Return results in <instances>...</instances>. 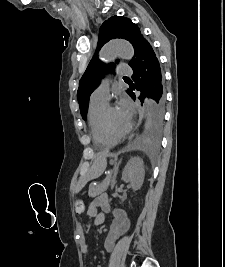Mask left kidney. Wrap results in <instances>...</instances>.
Here are the masks:
<instances>
[{
    "instance_id": "obj_1",
    "label": "left kidney",
    "mask_w": 225,
    "mask_h": 267,
    "mask_svg": "<svg viewBox=\"0 0 225 267\" xmlns=\"http://www.w3.org/2000/svg\"><path fill=\"white\" fill-rule=\"evenodd\" d=\"M144 164L143 160L139 157L131 158L122 172V179L129 183L134 191L141 188L144 182Z\"/></svg>"
}]
</instances>
